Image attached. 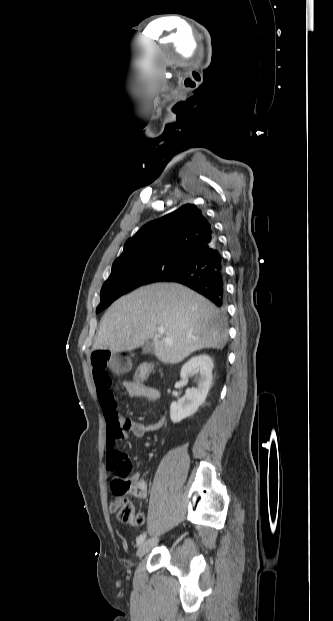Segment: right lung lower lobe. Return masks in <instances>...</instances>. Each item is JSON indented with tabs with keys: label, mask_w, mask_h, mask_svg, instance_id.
<instances>
[{
	"label": "right lung lower lobe",
	"mask_w": 333,
	"mask_h": 621,
	"mask_svg": "<svg viewBox=\"0 0 333 621\" xmlns=\"http://www.w3.org/2000/svg\"><path fill=\"white\" fill-rule=\"evenodd\" d=\"M161 281L186 285L223 308L226 298L225 270L216 238L186 256L178 270Z\"/></svg>",
	"instance_id": "obj_1"
}]
</instances>
